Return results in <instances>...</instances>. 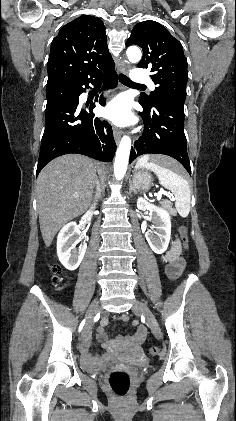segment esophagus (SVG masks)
I'll return each mask as SVG.
<instances>
[{
  "mask_svg": "<svg viewBox=\"0 0 236 421\" xmlns=\"http://www.w3.org/2000/svg\"><path fill=\"white\" fill-rule=\"evenodd\" d=\"M128 70H129V65L125 64L124 68L122 69V72L128 73ZM113 135H114L115 142L118 144L121 139L122 131L118 128H114Z\"/></svg>",
  "mask_w": 236,
  "mask_h": 421,
  "instance_id": "1",
  "label": "esophagus"
}]
</instances>
